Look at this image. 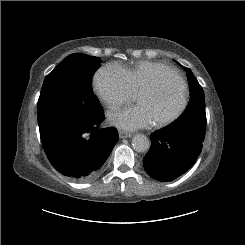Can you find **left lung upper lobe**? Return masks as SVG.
Here are the masks:
<instances>
[{
    "label": "left lung upper lobe",
    "instance_id": "obj_1",
    "mask_svg": "<svg viewBox=\"0 0 245 245\" xmlns=\"http://www.w3.org/2000/svg\"><path fill=\"white\" fill-rule=\"evenodd\" d=\"M189 76L191 100L184 113L173 123L164 127L171 132L188 133L204 141L206 132V112L204 92L189 68L182 66Z\"/></svg>",
    "mask_w": 245,
    "mask_h": 245
}]
</instances>
